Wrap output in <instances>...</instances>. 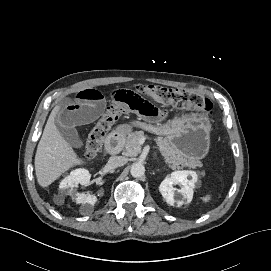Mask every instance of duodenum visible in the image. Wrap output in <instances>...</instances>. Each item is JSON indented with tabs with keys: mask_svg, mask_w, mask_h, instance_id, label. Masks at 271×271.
I'll return each mask as SVG.
<instances>
[{
	"mask_svg": "<svg viewBox=\"0 0 271 271\" xmlns=\"http://www.w3.org/2000/svg\"><path fill=\"white\" fill-rule=\"evenodd\" d=\"M123 141V131L116 129L112 131L106 138V150L113 156L119 154Z\"/></svg>",
	"mask_w": 271,
	"mask_h": 271,
	"instance_id": "duodenum-1",
	"label": "duodenum"
}]
</instances>
